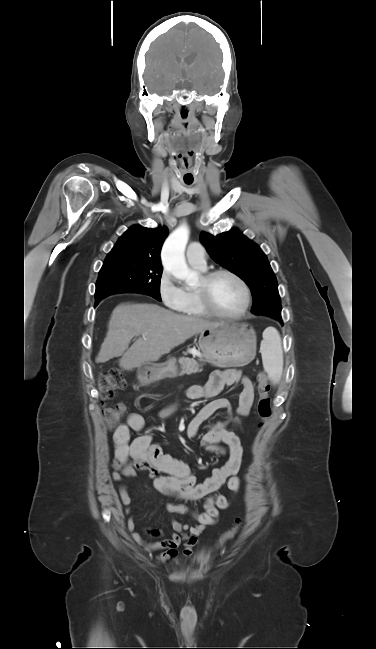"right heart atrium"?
Masks as SVG:
<instances>
[{"mask_svg":"<svg viewBox=\"0 0 376 649\" xmlns=\"http://www.w3.org/2000/svg\"><path fill=\"white\" fill-rule=\"evenodd\" d=\"M158 294L161 301L171 309H178L184 299L183 288L180 287L172 274L163 269L158 278Z\"/></svg>","mask_w":376,"mask_h":649,"instance_id":"obj_1","label":"right heart atrium"}]
</instances>
